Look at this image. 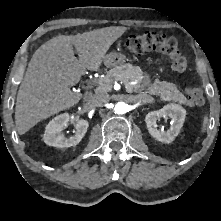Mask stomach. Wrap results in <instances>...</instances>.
<instances>
[{"mask_svg":"<svg viewBox=\"0 0 221 221\" xmlns=\"http://www.w3.org/2000/svg\"><path fill=\"white\" fill-rule=\"evenodd\" d=\"M103 60L106 67H117L124 64L126 56L122 53L111 52Z\"/></svg>","mask_w":221,"mask_h":221,"instance_id":"stomach-1","label":"stomach"}]
</instances>
